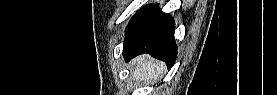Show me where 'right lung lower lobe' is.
<instances>
[{
	"instance_id": "obj_1",
	"label": "right lung lower lobe",
	"mask_w": 277,
	"mask_h": 95,
	"mask_svg": "<svg viewBox=\"0 0 277 95\" xmlns=\"http://www.w3.org/2000/svg\"><path fill=\"white\" fill-rule=\"evenodd\" d=\"M174 30V19L157 5L143 7L126 28L123 56L130 60L139 54L149 53L164 61L170 69L177 55Z\"/></svg>"
}]
</instances>
